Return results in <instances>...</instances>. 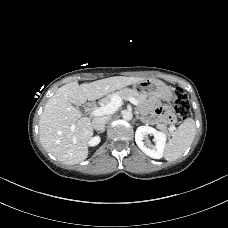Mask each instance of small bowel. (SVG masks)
<instances>
[{"label": "small bowel", "instance_id": "obj_1", "mask_svg": "<svg viewBox=\"0 0 228 228\" xmlns=\"http://www.w3.org/2000/svg\"><path fill=\"white\" fill-rule=\"evenodd\" d=\"M150 117L153 118H162L166 120L168 116V111L161 107L159 104H154L152 111L149 113Z\"/></svg>", "mask_w": 228, "mask_h": 228}]
</instances>
